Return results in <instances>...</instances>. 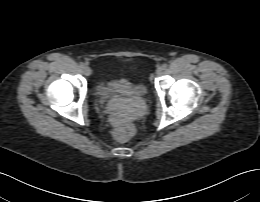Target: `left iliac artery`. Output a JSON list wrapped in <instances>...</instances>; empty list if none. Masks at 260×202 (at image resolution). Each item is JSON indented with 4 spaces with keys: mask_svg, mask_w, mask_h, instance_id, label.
I'll use <instances>...</instances> for the list:
<instances>
[{
    "mask_svg": "<svg viewBox=\"0 0 260 202\" xmlns=\"http://www.w3.org/2000/svg\"><path fill=\"white\" fill-rule=\"evenodd\" d=\"M162 68L165 70V69L167 68V64L164 63V64L162 65Z\"/></svg>",
    "mask_w": 260,
    "mask_h": 202,
    "instance_id": "left-iliac-artery-1",
    "label": "left iliac artery"
}]
</instances>
